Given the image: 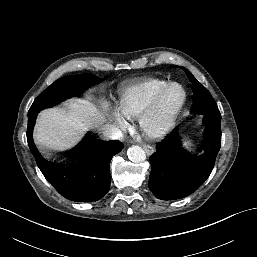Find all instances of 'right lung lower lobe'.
<instances>
[{
  "label": "right lung lower lobe",
  "instance_id": "1",
  "mask_svg": "<svg viewBox=\"0 0 257 257\" xmlns=\"http://www.w3.org/2000/svg\"><path fill=\"white\" fill-rule=\"evenodd\" d=\"M34 124L35 119L28 118V144L47 181L71 201L91 202L101 199L110 188V161L121 151L123 144L92 137L77 160L57 163L44 158L36 148L32 136Z\"/></svg>",
  "mask_w": 257,
  "mask_h": 257
}]
</instances>
